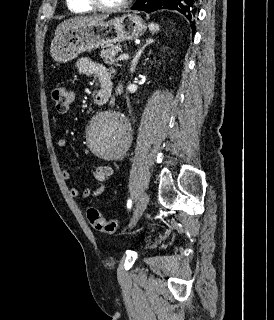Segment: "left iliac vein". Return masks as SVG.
<instances>
[{"instance_id": "1", "label": "left iliac vein", "mask_w": 274, "mask_h": 320, "mask_svg": "<svg viewBox=\"0 0 274 320\" xmlns=\"http://www.w3.org/2000/svg\"><path fill=\"white\" fill-rule=\"evenodd\" d=\"M148 202H149L148 195L146 193H143L139 197V200L136 204V208L134 210L133 216H132L130 224H129L130 228H132L136 225L137 221L140 219L144 210L146 209Z\"/></svg>"}]
</instances>
